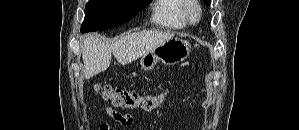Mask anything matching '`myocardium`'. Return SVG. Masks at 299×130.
I'll return each mask as SVG.
<instances>
[{
  "label": "myocardium",
  "mask_w": 299,
  "mask_h": 130,
  "mask_svg": "<svg viewBox=\"0 0 299 130\" xmlns=\"http://www.w3.org/2000/svg\"><path fill=\"white\" fill-rule=\"evenodd\" d=\"M184 16L191 24H197L201 20L202 9L197 0H185Z\"/></svg>",
  "instance_id": "f54148a6"
}]
</instances>
